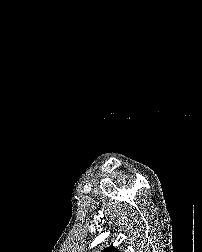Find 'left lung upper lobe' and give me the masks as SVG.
<instances>
[{
	"label": "left lung upper lobe",
	"mask_w": 202,
	"mask_h": 252,
	"mask_svg": "<svg viewBox=\"0 0 202 252\" xmlns=\"http://www.w3.org/2000/svg\"><path fill=\"white\" fill-rule=\"evenodd\" d=\"M102 252H118L115 247L110 246L107 249H104Z\"/></svg>",
	"instance_id": "1"
}]
</instances>
